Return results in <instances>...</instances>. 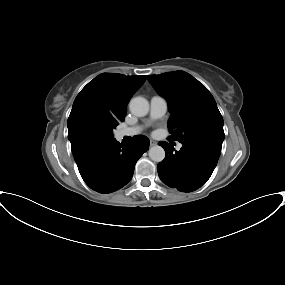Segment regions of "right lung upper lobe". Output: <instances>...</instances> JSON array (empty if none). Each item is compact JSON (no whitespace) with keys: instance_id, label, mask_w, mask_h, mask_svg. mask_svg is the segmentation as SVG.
Masks as SVG:
<instances>
[{"instance_id":"cb5924a9","label":"right lung upper lobe","mask_w":285,"mask_h":285,"mask_svg":"<svg viewBox=\"0 0 285 285\" xmlns=\"http://www.w3.org/2000/svg\"><path fill=\"white\" fill-rule=\"evenodd\" d=\"M145 80L146 76L103 73L90 81L77 95L68 118L72 152L87 144L86 123L124 121L130 98Z\"/></svg>"}]
</instances>
